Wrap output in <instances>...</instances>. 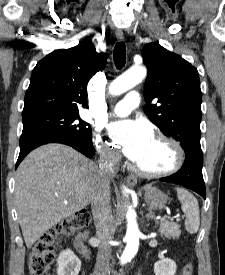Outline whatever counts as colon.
<instances>
[{
    "label": "colon",
    "instance_id": "5ec220e1",
    "mask_svg": "<svg viewBox=\"0 0 225 275\" xmlns=\"http://www.w3.org/2000/svg\"><path fill=\"white\" fill-rule=\"evenodd\" d=\"M90 221L91 215L89 211L82 210L43 233L30 252L29 267L31 275H46L55 258L54 247L56 240L59 237L72 235L87 226ZM182 273L183 275L192 274L190 262L185 263Z\"/></svg>",
    "mask_w": 225,
    "mask_h": 275
}]
</instances>
